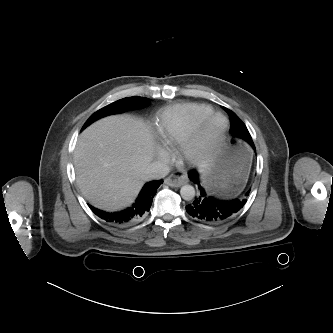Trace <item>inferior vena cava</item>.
I'll use <instances>...</instances> for the list:
<instances>
[{
	"label": "inferior vena cava",
	"instance_id": "obj_1",
	"mask_svg": "<svg viewBox=\"0 0 333 333\" xmlns=\"http://www.w3.org/2000/svg\"><path fill=\"white\" fill-rule=\"evenodd\" d=\"M169 172L170 168L166 164L162 162H153L147 167L144 173V178L145 180L160 179L167 176Z\"/></svg>",
	"mask_w": 333,
	"mask_h": 333
}]
</instances>
